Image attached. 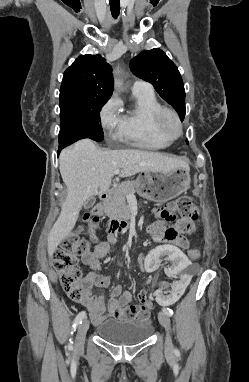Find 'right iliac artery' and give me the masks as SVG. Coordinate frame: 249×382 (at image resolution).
Returning a JSON list of instances; mask_svg holds the SVG:
<instances>
[{
	"label": "right iliac artery",
	"instance_id": "1",
	"mask_svg": "<svg viewBox=\"0 0 249 382\" xmlns=\"http://www.w3.org/2000/svg\"><path fill=\"white\" fill-rule=\"evenodd\" d=\"M86 318V312L85 311H81L77 316H76V318H75V320H74V322H73V325H72V332L71 333H73L75 330H76V328H77V326L79 325V324H81L82 323V321L84 320Z\"/></svg>",
	"mask_w": 249,
	"mask_h": 382
}]
</instances>
